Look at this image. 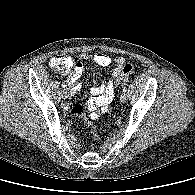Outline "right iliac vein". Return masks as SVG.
<instances>
[{"label": "right iliac vein", "instance_id": "obj_1", "mask_svg": "<svg viewBox=\"0 0 195 195\" xmlns=\"http://www.w3.org/2000/svg\"><path fill=\"white\" fill-rule=\"evenodd\" d=\"M61 96H62V98L63 99H67L68 98V96H69V94H68V92H67V90H62V93H61Z\"/></svg>", "mask_w": 195, "mask_h": 195}]
</instances>
